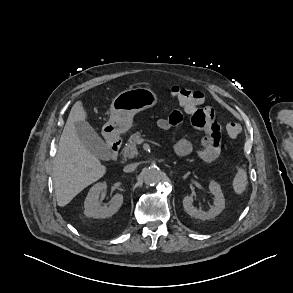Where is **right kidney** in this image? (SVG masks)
Masks as SVG:
<instances>
[{
	"mask_svg": "<svg viewBox=\"0 0 293 293\" xmlns=\"http://www.w3.org/2000/svg\"><path fill=\"white\" fill-rule=\"evenodd\" d=\"M102 183L95 184L89 191L84 202V214L92 218H107L114 215L123 203V195L115 194L110 200L109 206H101L99 203V195L103 191Z\"/></svg>",
	"mask_w": 293,
	"mask_h": 293,
	"instance_id": "right-kidney-1",
	"label": "right kidney"
}]
</instances>
